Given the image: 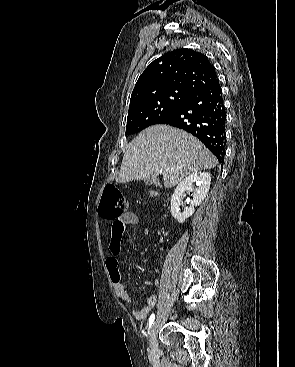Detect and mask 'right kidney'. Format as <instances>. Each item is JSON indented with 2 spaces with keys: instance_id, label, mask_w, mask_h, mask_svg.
<instances>
[{
  "instance_id": "obj_1",
  "label": "right kidney",
  "mask_w": 295,
  "mask_h": 367,
  "mask_svg": "<svg viewBox=\"0 0 295 367\" xmlns=\"http://www.w3.org/2000/svg\"><path fill=\"white\" fill-rule=\"evenodd\" d=\"M193 183L198 187L194 188ZM211 183V175L208 172H194L183 179L176 187L171 198V214L179 222L183 223L187 218L193 215L196 206L200 205L206 197ZM186 191L192 192L193 200L190 207H185L181 211L183 205L182 199Z\"/></svg>"
}]
</instances>
